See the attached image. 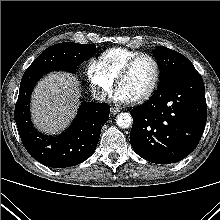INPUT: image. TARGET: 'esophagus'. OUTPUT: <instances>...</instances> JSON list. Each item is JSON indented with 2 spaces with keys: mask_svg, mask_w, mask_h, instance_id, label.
<instances>
[{
  "mask_svg": "<svg viewBox=\"0 0 220 220\" xmlns=\"http://www.w3.org/2000/svg\"><path fill=\"white\" fill-rule=\"evenodd\" d=\"M120 112V110L118 109V108H115V107H112L111 108V114L112 115H116V114H118Z\"/></svg>",
  "mask_w": 220,
  "mask_h": 220,
  "instance_id": "obj_1",
  "label": "esophagus"
}]
</instances>
